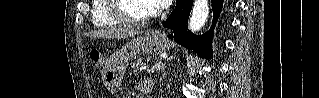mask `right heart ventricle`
Segmentation results:
<instances>
[{
	"label": "right heart ventricle",
	"mask_w": 319,
	"mask_h": 98,
	"mask_svg": "<svg viewBox=\"0 0 319 98\" xmlns=\"http://www.w3.org/2000/svg\"><path fill=\"white\" fill-rule=\"evenodd\" d=\"M91 20L97 28L112 27L118 24L108 13V0L92 1Z\"/></svg>",
	"instance_id": "right-heart-ventricle-1"
}]
</instances>
